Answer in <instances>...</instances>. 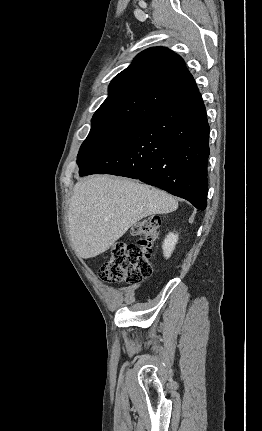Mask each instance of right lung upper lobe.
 <instances>
[{
	"label": "right lung upper lobe",
	"instance_id": "right-lung-upper-lobe-1",
	"mask_svg": "<svg viewBox=\"0 0 262 431\" xmlns=\"http://www.w3.org/2000/svg\"><path fill=\"white\" fill-rule=\"evenodd\" d=\"M109 96L94 113L92 125L137 124L199 94L183 59L164 47L139 53L109 85Z\"/></svg>",
	"mask_w": 262,
	"mask_h": 431
}]
</instances>
